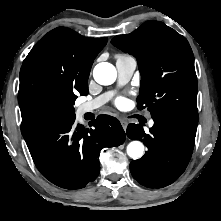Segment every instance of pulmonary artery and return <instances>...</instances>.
Returning a JSON list of instances; mask_svg holds the SVG:
<instances>
[{
    "instance_id": "pulmonary-artery-1",
    "label": "pulmonary artery",
    "mask_w": 221,
    "mask_h": 221,
    "mask_svg": "<svg viewBox=\"0 0 221 221\" xmlns=\"http://www.w3.org/2000/svg\"><path fill=\"white\" fill-rule=\"evenodd\" d=\"M136 60L131 56H117L116 57V69L118 74V84L124 85L126 84L132 77L135 69H136ZM113 95V92H106L101 94L100 96L94 98L91 101L85 102L81 104L77 113L79 115H83L88 112H92L102 105H104ZM149 124L152 126L153 121H150Z\"/></svg>"
}]
</instances>
